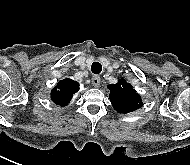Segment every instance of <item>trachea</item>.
<instances>
[{"instance_id": "1", "label": "trachea", "mask_w": 190, "mask_h": 165, "mask_svg": "<svg viewBox=\"0 0 190 165\" xmlns=\"http://www.w3.org/2000/svg\"><path fill=\"white\" fill-rule=\"evenodd\" d=\"M91 70L94 74H99L102 71V65L99 62H93L91 66Z\"/></svg>"}]
</instances>
